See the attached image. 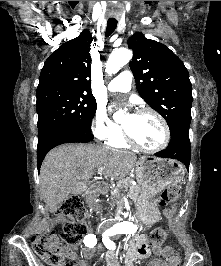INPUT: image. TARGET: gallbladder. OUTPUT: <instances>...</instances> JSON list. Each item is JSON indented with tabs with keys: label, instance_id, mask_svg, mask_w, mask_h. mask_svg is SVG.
<instances>
[{
	"label": "gallbladder",
	"instance_id": "gallbladder-1",
	"mask_svg": "<svg viewBox=\"0 0 221 266\" xmlns=\"http://www.w3.org/2000/svg\"><path fill=\"white\" fill-rule=\"evenodd\" d=\"M79 193H81V192H79V191H76L74 194H79Z\"/></svg>",
	"mask_w": 221,
	"mask_h": 266
}]
</instances>
